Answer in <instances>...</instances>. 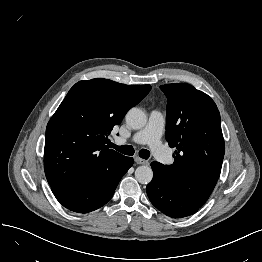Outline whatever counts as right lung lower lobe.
Returning a JSON list of instances; mask_svg holds the SVG:
<instances>
[{"label":"right lung lower lobe","instance_id":"right-lung-lower-lobe-1","mask_svg":"<svg viewBox=\"0 0 262 262\" xmlns=\"http://www.w3.org/2000/svg\"><path fill=\"white\" fill-rule=\"evenodd\" d=\"M133 164V158L123 157L107 185L99 188L52 189L56 199L67 209L87 213L105 205L113 196L114 191L128 169Z\"/></svg>","mask_w":262,"mask_h":262}]
</instances>
